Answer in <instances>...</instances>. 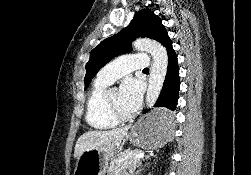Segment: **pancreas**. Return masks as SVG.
<instances>
[{
	"label": "pancreas",
	"mask_w": 251,
	"mask_h": 175,
	"mask_svg": "<svg viewBox=\"0 0 251 175\" xmlns=\"http://www.w3.org/2000/svg\"><path fill=\"white\" fill-rule=\"evenodd\" d=\"M136 153H141V151L139 149H125V151H122V155L114 157L110 161L107 175H129V173H133V169L138 167V163L141 161V157H135Z\"/></svg>",
	"instance_id": "pancreas-1"
}]
</instances>
